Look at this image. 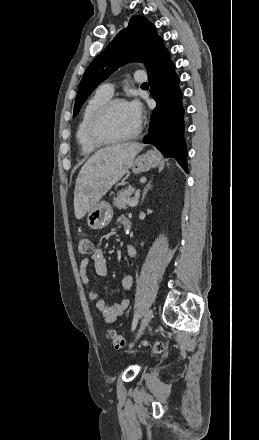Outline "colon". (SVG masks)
<instances>
[{"mask_svg":"<svg viewBox=\"0 0 259 440\" xmlns=\"http://www.w3.org/2000/svg\"><path fill=\"white\" fill-rule=\"evenodd\" d=\"M92 249L93 246L91 240L85 234H80L77 238L78 253L87 255L92 252ZM108 338L112 345L117 349L124 348L128 345L125 338L115 330L109 331ZM151 347L155 352H161L164 349V345L161 342H155Z\"/></svg>","mask_w":259,"mask_h":440,"instance_id":"obj_1","label":"colon"}]
</instances>
